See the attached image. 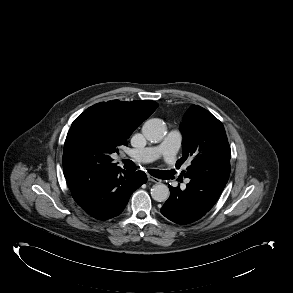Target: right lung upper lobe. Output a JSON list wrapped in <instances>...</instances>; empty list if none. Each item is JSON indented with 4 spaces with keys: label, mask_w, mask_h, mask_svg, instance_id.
<instances>
[{
    "label": "right lung upper lobe",
    "mask_w": 293,
    "mask_h": 293,
    "mask_svg": "<svg viewBox=\"0 0 293 293\" xmlns=\"http://www.w3.org/2000/svg\"><path fill=\"white\" fill-rule=\"evenodd\" d=\"M158 107L154 101L122 102L119 100L97 103L85 110L67 134L63 152V171L72 197L92 217L102 218L110 206L83 196V186L100 173L118 168L110 157ZM94 155L100 164L84 170L80 156Z\"/></svg>",
    "instance_id": "cb5924a9"
}]
</instances>
